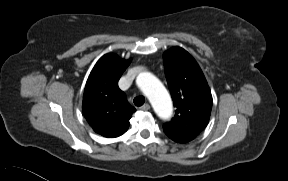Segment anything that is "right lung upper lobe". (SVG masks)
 Wrapping results in <instances>:
<instances>
[{
  "mask_svg": "<svg viewBox=\"0 0 288 181\" xmlns=\"http://www.w3.org/2000/svg\"><path fill=\"white\" fill-rule=\"evenodd\" d=\"M131 60L106 54L92 69L83 96V113L93 130L104 137H118L129 127L132 107L118 81Z\"/></svg>",
  "mask_w": 288,
  "mask_h": 181,
  "instance_id": "obj_1",
  "label": "right lung upper lobe"
}]
</instances>
